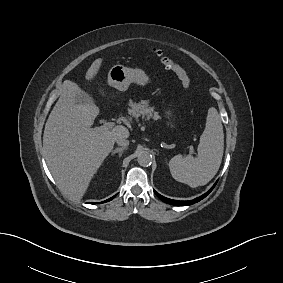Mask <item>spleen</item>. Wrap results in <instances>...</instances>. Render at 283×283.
I'll use <instances>...</instances> for the list:
<instances>
[{
	"mask_svg": "<svg viewBox=\"0 0 283 283\" xmlns=\"http://www.w3.org/2000/svg\"><path fill=\"white\" fill-rule=\"evenodd\" d=\"M196 158L176 155L169 161L172 177L192 188L206 185L218 172L223 152L224 133L220 115L214 107L209 108L206 127L200 136Z\"/></svg>",
	"mask_w": 283,
	"mask_h": 283,
	"instance_id": "spleen-1",
	"label": "spleen"
}]
</instances>
